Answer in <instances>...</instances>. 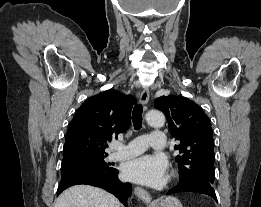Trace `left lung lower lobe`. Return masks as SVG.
I'll return each mask as SVG.
<instances>
[{
	"label": "left lung lower lobe",
	"mask_w": 261,
	"mask_h": 207,
	"mask_svg": "<svg viewBox=\"0 0 261 207\" xmlns=\"http://www.w3.org/2000/svg\"><path fill=\"white\" fill-rule=\"evenodd\" d=\"M188 192L206 194L217 202V197L212 185L200 180L180 179L179 183L167 192V195Z\"/></svg>",
	"instance_id": "0a47b994"
}]
</instances>
